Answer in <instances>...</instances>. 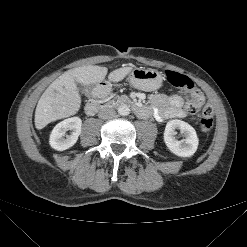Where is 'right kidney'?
Returning <instances> with one entry per match:
<instances>
[{"label": "right kidney", "mask_w": 247, "mask_h": 247, "mask_svg": "<svg viewBox=\"0 0 247 247\" xmlns=\"http://www.w3.org/2000/svg\"><path fill=\"white\" fill-rule=\"evenodd\" d=\"M82 120L79 117H71L58 123L52 130L49 138L50 146L58 151H64L72 147L81 134ZM71 130L70 135L66 131ZM66 136V138H64Z\"/></svg>", "instance_id": "ca27d5eb"}]
</instances>
